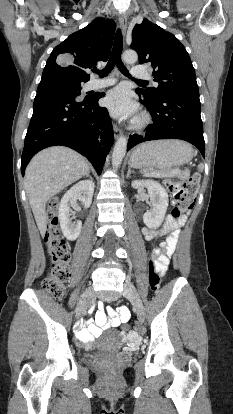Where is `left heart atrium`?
Instances as JSON below:
<instances>
[{
  "instance_id": "obj_1",
  "label": "left heart atrium",
  "mask_w": 233,
  "mask_h": 414,
  "mask_svg": "<svg viewBox=\"0 0 233 414\" xmlns=\"http://www.w3.org/2000/svg\"><path fill=\"white\" fill-rule=\"evenodd\" d=\"M104 105L113 116L121 118L132 117L137 111L129 92L123 87L111 90L104 98Z\"/></svg>"
}]
</instances>
